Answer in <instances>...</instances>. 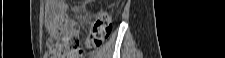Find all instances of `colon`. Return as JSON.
<instances>
[{
  "instance_id": "colon-1",
  "label": "colon",
  "mask_w": 225,
  "mask_h": 58,
  "mask_svg": "<svg viewBox=\"0 0 225 58\" xmlns=\"http://www.w3.org/2000/svg\"><path fill=\"white\" fill-rule=\"evenodd\" d=\"M111 31L112 23L109 13L105 11L97 12L90 33L85 40V48H99L109 38ZM84 52L85 49L78 38V29L74 24L69 25L66 37L57 42L50 50L52 57L56 58H62L68 54H71L73 58H81Z\"/></svg>"
}]
</instances>
